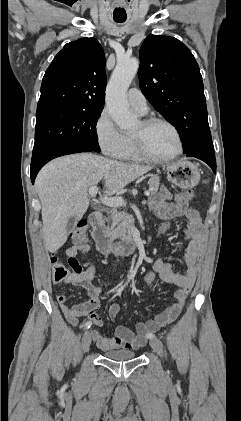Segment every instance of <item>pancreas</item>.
Listing matches in <instances>:
<instances>
[{
  "label": "pancreas",
  "mask_w": 241,
  "mask_h": 421,
  "mask_svg": "<svg viewBox=\"0 0 241 421\" xmlns=\"http://www.w3.org/2000/svg\"><path fill=\"white\" fill-rule=\"evenodd\" d=\"M149 192L153 195L156 194L159 189V178L154 177L149 179ZM134 222L132 215L126 212H119L117 209H113L111 214L107 218V231L114 237H123L128 234L131 228V225Z\"/></svg>",
  "instance_id": "1"
}]
</instances>
